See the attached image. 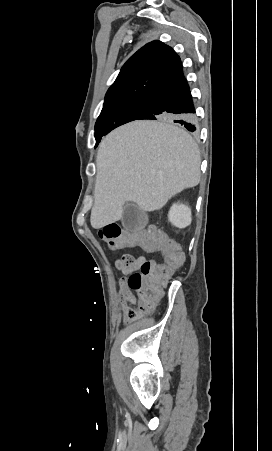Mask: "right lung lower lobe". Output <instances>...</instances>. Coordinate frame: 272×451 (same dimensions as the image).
Listing matches in <instances>:
<instances>
[{"label":"right lung lower lobe","instance_id":"1","mask_svg":"<svg viewBox=\"0 0 272 451\" xmlns=\"http://www.w3.org/2000/svg\"><path fill=\"white\" fill-rule=\"evenodd\" d=\"M195 113L190 88L181 71L151 96L148 108L136 120H171L193 132Z\"/></svg>","mask_w":272,"mask_h":451}]
</instances>
